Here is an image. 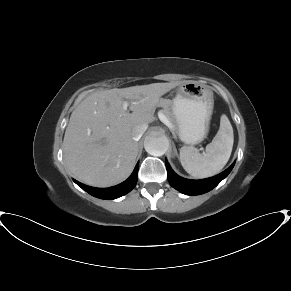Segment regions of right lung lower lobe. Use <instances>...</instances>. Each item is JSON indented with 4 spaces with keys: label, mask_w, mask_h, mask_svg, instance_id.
I'll list each match as a JSON object with an SVG mask.
<instances>
[{
    "label": "right lung lower lobe",
    "mask_w": 291,
    "mask_h": 291,
    "mask_svg": "<svg viewBox=\"0 0 291 291\" xmlns=\"http://www.w3.org/2000/svg\"><path fill=\"white\" fill-rule=\"evenodd\" d=\"M138 169H139V163H137L133 173L131 176L121 184H118L113 187L109 188H94L87 185H84L76 180L74 182L79 185L83 190L88 192L94 197L100 198V199H116L118 197H121L131 191L134 186L136 185L137 179H138Z\"/></svg>",
    "instance_id": "98d812e1"
}]
</instances>
